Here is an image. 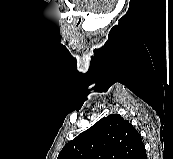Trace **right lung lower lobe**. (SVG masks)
<instances>
[{"mask_svg": "<svg viewBox=\"0 0 173 159\" xmlns=\"http://www.w3.org/2000/svg\"><path fill=\"white\" fill-rule=\"evenodd\" d=\"M139 159H147L146 152Z\"/></svg>", "mask_w": 173, "mask_h": 159, "instance_id": "98d812e1", "label": "right lung lower lobe"}]
</instances>
